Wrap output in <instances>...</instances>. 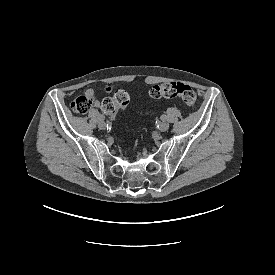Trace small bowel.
Segmentation results:
<instances>
[{
  "label": "small bowel",
  "mask_w": 275,
  "mask_h": 275,
  "mask_svg": "<svg viewBox=\"0 0 275 275\" xmlns=\"http://www.w3.org/2000/svg\"><path fill=\"white\" fill-rule=\"evenodd\" d=\"M112 90H113V87H112L111 85H108V86L105 87V92H107V93H110ZM136 90H137V92H138L139 94H141V93H140L141 91H140L139 88H137ZM85 94H86L87 96L93 98L94 92H93L92 89H87L86 92H85ZM93 101H94V106H95V107H100V106H101L100 101H98V100H96V99H93Z\"/></svg>",
  "instance_id": "c3829d8e"
}]
</instances>
